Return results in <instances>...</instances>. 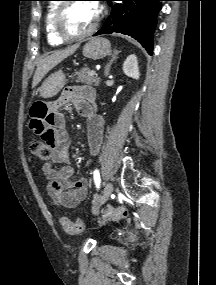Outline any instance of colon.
I'll use <instances>...</instances> for the list:
<instances>
[{"label":"colon","mask_w":216,"mask_h":285,"mask_svg":"<svg viewBox=\"0 0 216 285\" xmlns=\"http://www.w3.org/2000/svg\"><path fill=\"white\" fill-rule=\"evenodd\" d=\"M30 152L41 161H48L52 157V147L49 144H44V141L34 140L29 145ZM128 215V210L124 207L109 208L103 212L100 221H116L125 218ZM62 228L67 234H78L84 230L85 222L82 219L71 221L67 217L60 219Z\"/></svg>","instance_id":"5ec220e1"}]
</instances>
